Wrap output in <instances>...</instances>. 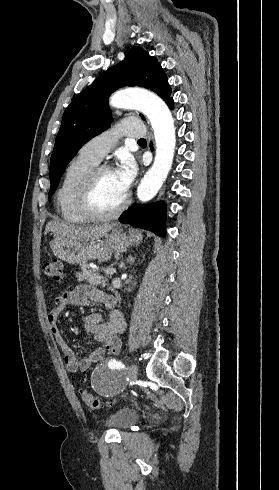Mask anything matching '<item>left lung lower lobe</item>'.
Returning <instances> with one entry per match:
<instances>
[{"instance_id": "left-lung-lower-lobe-1", "label": "left lung lower lobe", "mask_w": 279, "mask_h": 490, "mask_svg": "<svg viewBox=\"0 0 279 490\" xmlns=\"http://www.w3.org/2000/svg\"><path fill=\"white\" fill-rule=\"evenodd\" d=\"M166 103L170 108H173L172 98ZM165 216V205L163 201H160L149 205L133 204L121 215L119 221L134 227L150 230L158 236L164 237Z\"/></svg>"}]
</instances>
